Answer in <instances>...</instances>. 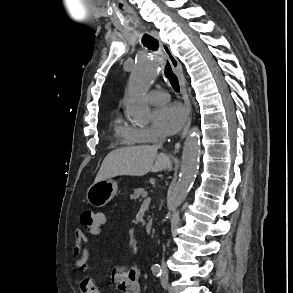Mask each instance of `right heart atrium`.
<instances>
[{
  "mask_svg": "<svg viewBox=\"0 0 293 293\" xmlns=\"http://www.w3.org/2000/svg\"><path fill=\"white\" fill-rule=\"evenodd\" d=\"M130 135L140 142H154L161 137L159 133L148 127L130 128Z\"/></svg>",
  "mask_w": 293,
  "mask_h": 293,
  "instance_id": "1",
  "label": "right heart atrium"
}]
</instances>
